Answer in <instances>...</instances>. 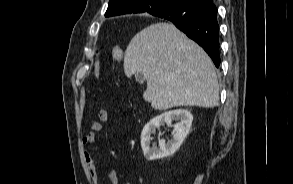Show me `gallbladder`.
Returning a JSON list of instances; mask_svg holds the SVG:
<instances>
[{"label":"gallbladder","instance_id":"bac80fb5","mask_svg":"<svg viewBox=\"0 0 293 184\" xmlns=\"http://www.w3.org/2000/svg\"><path fill=\"white\" fill-rule=\"evenodd\" d=\"M135 79H136V81L143 83L145 80V77L142 72H139L135 75Z\"/></svg>","mask_w":293,"mask_h":184}]
</instances>
